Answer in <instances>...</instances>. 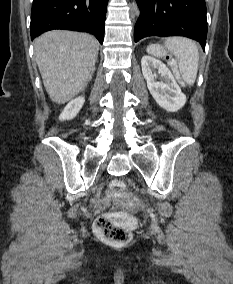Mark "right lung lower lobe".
Instances as JSON below:
<instances>
[{
    "instance_id": "1",
    "label": "right lung lower lobe",
    "mask_w": 233,
    "mask_h": 284,
    "mask_svg": "<svg viewBox=\"0 0 233 284\" xmlns=\"http://www.w3.org/2000/svg\"><path fill=\"white\" fill-rule=\"evenodd\" d=\"M108 0H34L31 39L52 29L89 32L102 44Z\"/></svg>"
}]
</instances>
